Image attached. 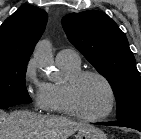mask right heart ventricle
Wrapping results in <instances>:
<instances>
[{
    "label": "right heart ventricle",
    "mask_w": 141,
    "mask_h": 139,
    "mask_svg": "<svg viewBox=\"0 0 141 139\" xmlns=\"http://www.w3.org/2000/svg\"><path fill=\"white\" fill-rule=\"evenodd\" d=\"M64 73V81L57 83H46L49 110L55 113L68 114L63 100V84L72 74L81 70L80 63H57Z\"/></svg>",
    "instance_id": "right-heart-ventricle-1"
}]
</instances>
